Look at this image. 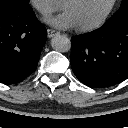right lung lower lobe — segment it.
<instances>
[{
	"mask_svg": "<svg viewBox=\"0 0 128 128\" xmlns=\"http://www.w3.org/2000/svg\"><path fill=\"white\" fill-rule=\"evenodd\" d=\"M46 39L32 8H0V82L16 84L33 73Z\"/></svg>",
	"mask_w": 128,
	"mask_h": 128,
	"instance_id": "right-lung-lower-lobe-1",
	"label": "right lung lower lobe"
}]
</instances>
